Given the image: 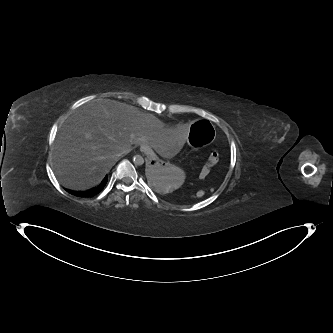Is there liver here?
I'll list each match as a JSON object with an SVG mask.
<instances>
[{"label":"liver","mask_w":333,"mask_h":333,"mask_svg":"<svg viewBox=\"0 0 333 333\" xmlns=\"http://www.w3.org/2000/svg\"><path fill=\"white\" fill-rule=\"evenodd\" d=\"M188 142L186 132L167 130L154 115L103 99L85 103L67 118L51 157L59 181L69 189L84 191L98 185L132 145L147 144L159 155L172 158Z\"/></svg>","instance_id":"liver-1"}]
</instances>
